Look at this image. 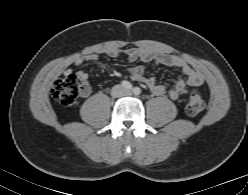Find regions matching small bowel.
<instances>
[{
	"mask_svg": "<svg viewBox=\"0 0 248 195\" xmlns=\"http://www.w3.org/2000/svg\"><path fill=\"white\" fill-rule=\"evenodd\" d=\"M109 57L116 58L119 56V52L115 49H111L107 52ZM140 51L137 49H130L127 51L126 56L129 60H134L140 56ZM147 58L153 60L156 64H162L170 67H177L182 70L183 77H177L172 87L167 89L164 85L157 83L154 77L146 76V68L144 66H134L129 69L132 78L136 81L144 82L150 91L156 96H162L166 92L172 100H179L190 89L197 88L203 84V75L186 64L180 57L172 54H160L153 53L146 54ZM99 59L98 54H90L85 58H77L74 61L75 65H81L84 60L95 62ZM72 72L71 68L65 70L66 74ZM77 77L86 85V88L82 92L83 96H86L90 92V88L87 85L88 73L84 70H78L76 72Z\"/></svg>",
	"mask_w": 248,
	"mask_h": 195,
	"instance_id": "c3829d8e",
	"label": "small bowel"
}]
</instances>
